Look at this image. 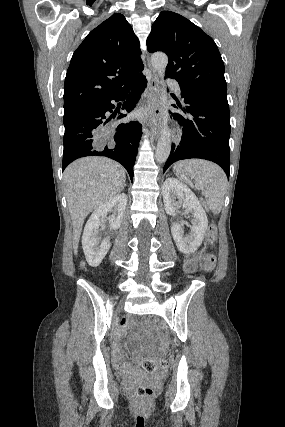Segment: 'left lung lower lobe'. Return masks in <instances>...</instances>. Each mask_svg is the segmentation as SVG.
<instances>
[{
  "mask_svg": "<svg viewBox=\"0 0 285 427\" xmlns=\"http://www.w3.org/2000/svg\"><path fill=\"white\" fill-rule=\"evenodd\" d=\"M185 103L183 112L191 116L185 118L173 114L175 120L183 126L180 145L172 144L170 156L163 173L174 162L183 159L200 158L220 165L227 177L230 174V113L226 98L208 94L187 92L181 89ZM181 107V104H178Z\"/></svg>",
  "mask_w": 285,
  "mask_h": 427,
  "instance_id": "0a47b994",
  "label": "left lung lower lobe"
}]
</instances>
